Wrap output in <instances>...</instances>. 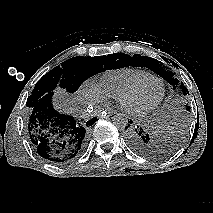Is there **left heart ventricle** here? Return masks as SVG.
<instances>
[{"label": "left heart ventricle", "mask_w": 213, "mask_h": 213, "mask_svg": "<svg viewBox=\"0 0 213 213\" xmlns=\"http://www.w3.org/2000/svg\"><path fill=\"white\" fill-rule=\"evenodd\" d=\"M160 92V84L157 81H151L142 88L135 103L147 104L153 102L159 97Z\"/></svg>", "instance_id": "obj_1"}]
</instances>
